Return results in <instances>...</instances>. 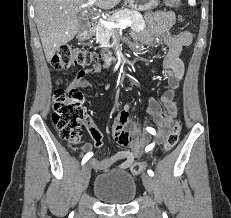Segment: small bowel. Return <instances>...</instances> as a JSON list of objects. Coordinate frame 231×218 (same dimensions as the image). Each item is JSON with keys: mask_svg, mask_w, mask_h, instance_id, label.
Segmentation results:
<instances>
[{"mask_svg": "<svg viewBox=\"0 0 231 218\" xmlns=\"http://www.w3.org/2000/svg\"><path fill=\"white\" fill-rule=\"evenodd\" d=\"M145 20L147 29L138 34V43L143 46H149L158 40L167 49L162 66L167 75L170 88L161 94L160 101L151 97L147 106V113L151 116L153 124L157 129V136L154 138L156 140L153 139V141L160 144L164 140L177 112L176 92L185 71L181 52L183 48L191 44L192 35L188 31L178 34L171 33V28L175 23V14L171 11L147 12ZM100 67V63H95L91 66H86L85 69H77V76L73 79L71 85L82 88L89 87L91 84L86 76L94 73L96 68ZM130 111L131 108L128 105L124 106L113 128L115 141L129 149L118 151L104 159H92L90 166L103 172L123 174L134 160L142 154L148 138L145 135H137L135 126L126 123ZM87 129L94 142V146L101 149L103 147V136L100 130L91 121L88 122ZM71 146L73 149H77L76 143ZM91 149L92 144L88 142L79 147L82 153Z\"/></svg>", "mask_w": 231, "mask_h": 218, "instance_id": "small-bowel-1", "label": "small bowel"}]
</instances>
